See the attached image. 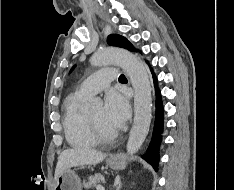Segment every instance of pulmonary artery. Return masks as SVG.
I'll return each mask as SVG.
<instances>
[{"label": "pulmonary artery", "mask_w": 234, "mask_h": 190, "mask_svg": "<svg viewBox=\"0 0 234 190\" xmlns=\"http://www.w3.org/2000/svg\"><path fill=\"white\" fill-rule=\"evenodd\" d=\"M116 78V69L110 66H104L85 79L81 83L78 92L87 96L94 95L105 89Z\"/></svg>", "instance_id": "1"}]
</instances>
